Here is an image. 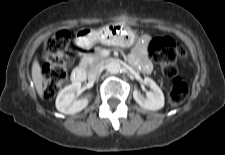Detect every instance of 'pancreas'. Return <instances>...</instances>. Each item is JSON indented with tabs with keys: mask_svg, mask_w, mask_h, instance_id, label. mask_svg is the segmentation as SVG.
Returning a JSON list of instances; mask_svg holds the SVG:
<instances>
[{
	"mask_svg": "<svg viewBox=\"0 0 225 155\" xmlns=\"http://www.w3.org/2000/svg\"><path fill=\"white\" fill-rule=\"evenodd\" d=\"M102 48L96 47L95 52L93 54L84 56L80 61V67L87 68L88 66L95 65L99 62H102L106 59L105 56L101 54Z\"/></svg>",
	"mask_w": 225,
	"mask_h": 155,
	"instance_id": "pancreas-1",
	"label": "pancreas"
}]
</instances>
